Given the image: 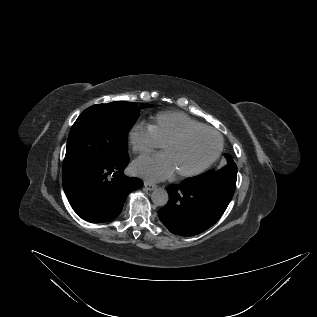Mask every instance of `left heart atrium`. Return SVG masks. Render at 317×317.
<instances>
[{"mask_svg": "<svg viewBox=\"0 0 317 317\" xmlns=\"http://www.w3.org/2000/svg\"><path fill=\"white\" fill-rule=\"evenodd\" d=\"M133 171L151 180H163L173 175L174 169L164 153L145 156L132 165Z\"/></svg>", "mask_w": 317, "mask_h": 317, "instance_id": "39dd6f15", "label": "left heart atrium"}]
</instances>
